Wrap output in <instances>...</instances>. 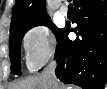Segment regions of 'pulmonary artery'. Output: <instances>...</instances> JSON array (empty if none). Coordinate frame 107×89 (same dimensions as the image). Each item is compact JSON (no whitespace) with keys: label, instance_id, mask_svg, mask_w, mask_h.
Returning <instances> with one entry per match:
<instances>
[{"label":"pulmonary artery","instance_id":"pulmonary-artery-1","mask_svg":"<svg viewBox=\"0 0 107 89\" xmlns=\"http://www.w3.org/2000/svg\"><path fill=\"white\" fill-rule=\"evenodd\" d=\"M60 13L63 15V16H66L68 14V8L66 6H62L60 8Z\"/></svg>","mask_w":107,"mask_h":89}]
</instances>
